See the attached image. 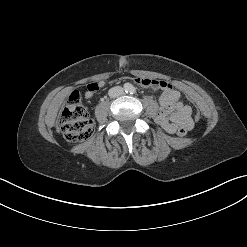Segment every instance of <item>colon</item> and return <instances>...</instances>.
I'll return each instance as SVG.
<instances>
[{
	"instance_id": "1",
	"label": "colon",
	"mask_w": 247,
	"mask_h": 247,
	"mask_svg": "<svg viewBox=\"0 0 247 247\" xmlns=\"http://www.w3.org/2000/svg\"><path fill=\"white\" fill-rule=\"evenodd\" d=\"M90 85H88V88ZM59 125L64 138L69 142H82L91 138L93 134V121L83 106L79 103V94L73 92L69 97V104L63 109ZM188 130L180 127L179 136H185Z\"/></svg>"
}]
</instances>
